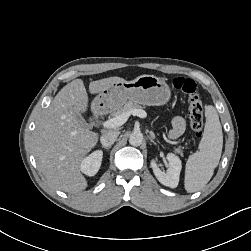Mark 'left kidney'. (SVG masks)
<instances>
[{"label":"left kidney","mask_w":251,"mask_h":251,"mask_svg":"<svg viewBox=\"0 0 251 251\" xmlns=\"http://www.w3.org/2000/svg\"><path fill=\"white\" fill-rule=\"evenodd\" d=\"M166 158L169 163L166 173L160 170L154 160L151 161V167L154 175L161 184L170 188H176L179 183V176L182 169L181 160L172 153H168Z\"/></svg>","instance_id":"1"}]
</instances>
